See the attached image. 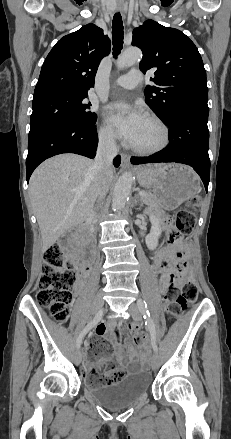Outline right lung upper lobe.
<instances>
[{
	"mask_svg": "<svg viewBox=\"0 0 231 439\" xmlns=\"http://www.w3.org/2000/svg\"><path fill=\"white\" fill-rule=\"evenodd\" d=\"M110 49L108 36L94 24L64 36L42 65L34 98L52 93L88 95V89L94 87L99 63Z\"/></svg>",
	"mask_w": 231,
	"mask_h": 439,
	"instance_id": "right-lung-upper-lobe-1",
	"label": "right lung upper lobe"
}]
</instances>
